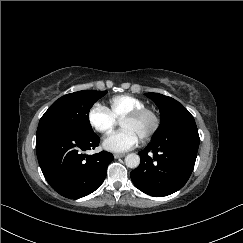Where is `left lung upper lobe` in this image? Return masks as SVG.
<instances>
[{
    "instance_id": "obj_1",
    "label": "left lung upper lobe",
    "mask_w": 243,
    "mask_h": 243,
    "mask_svg": "<svg viewBox=\"0 0 243 243\" xmlns=\"http://www.w3.org/2000/svg\"><path fill=\"white\" fill-rule=\"evenodd\" d=\"M145 95L155 102L160 111V126L152 140L166 137L187 124L195 123L193 116L175 99L159 93Z\"/></svg>"
}]
</instances>
